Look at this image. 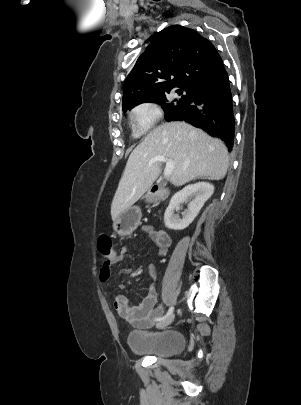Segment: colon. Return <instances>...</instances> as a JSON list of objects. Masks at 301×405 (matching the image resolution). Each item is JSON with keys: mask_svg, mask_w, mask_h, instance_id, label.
I'll return each mask as SVG.
<instances>
[{"mask_svg": "<svg viewBox=\"0 0 301 405\" xmlns=\"http://www.w3.org/2000/svg\"><path fill=\"white\" fill-rule=\"evenodd\" d=\"M98 250L103 259H108L112 253V244L109 237L105 234L101 235L97 242Z\"/></svg>", "mask_w": 301, "mask_h": 405, "instance_id": "obj_1", "label": "colon"}]
</instances>
